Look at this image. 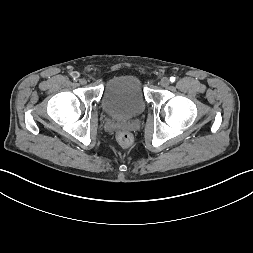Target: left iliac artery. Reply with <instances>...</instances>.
Here are the masks:
<instances>
[{
    "label": "left iliac artery",
    "mask_w": 253,
    "mask_h": 253,
    "mask_svg": "<svg viewBox=\"0 0 253 253\" xmlns=\"http://www.w3.org/2000/svg\"><path fill=\"white\" fill-rule=\"evenodd\" d=\"M170 81H171V82H174V81H175V77H173V76L170 77Z\"/></svg>",
    "instance_id": "obj_1"
}]
</instances>
